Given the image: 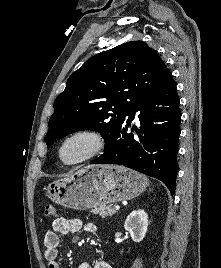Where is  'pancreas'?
I'll list each match as a JSON object with an SVG mask.
<instances>
[{
  "instance_id": "obj_1",
  "label": "pancreas",
  "mask_w": 221,
  "mask_h": 268,
  "mask_svg": "<svg viewBox=\"0 0 221 268\" xmlns=\"http://www.w3.org/2000/svg\"><path fill=\"white\" fill-rule=\"evenodd\" d=\"M93 214H98L102 218H106L108 216H112L116 213V210L114 209L113 205L108 206H100L99 208H94L91 210Z\"/></svg>"
}]
</instances>
